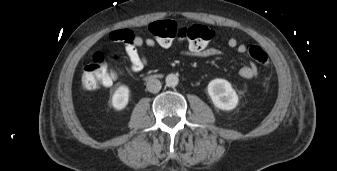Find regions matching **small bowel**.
Masks as SVG:
<instances>
[{
  "label": "small bowel",
  "instance_id": "c3829d8e",
  "mask_svg": "<svg viewBox=\"0 0 337 171\" xmlns=\"http://www.w3.org/2000/svg\"><path fill=\"white\" fill-rule=\"evenodd\" d=\"M111 39L115 41H121L125 43V53L129 59L128 70L131 73H138L144 69L148 64V59L144 54V47L155 49L161 47L153 38H142L131 31L119 30L111 34ZM227 44L231 48H235L240 54L246 52V46L244 44H238L236 38L231 37L227 40ZM163 48V47H161ZM168 49V48H164ZM190 56L199 58H214L223 56V52L217 48H204L200 52H193L190 49L186 52ZM240 76L244 79H253L257 77L258 69L257 66L250 62L241 68L239 72Z\"/></svg>",
  "mask_w": 337,
  "mask_h": 171
}]
</instances>
